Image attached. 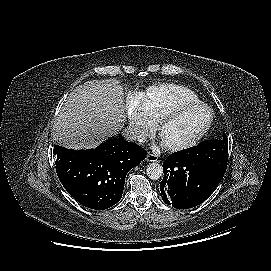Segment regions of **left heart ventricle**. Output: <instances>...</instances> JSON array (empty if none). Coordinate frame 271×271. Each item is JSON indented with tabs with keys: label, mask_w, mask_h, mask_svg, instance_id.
<instances>
[{
	"label": "left heart ventricle",
	"mask_w": 271,
	"mask_h": 271,
	"mask_svg": "<svg viewBox=\"0 0 271 271\" xmlns=\"http://www.w3.org/2000/svg\"><path fill=\"white\" fill-rule=\"evenodd\" d=\"M208 118V110L204 107L187 110L164 123L160 131L161 140L166 145L183 143L196 135Z\"/></svg>",
	"instance_id": "obj_1"
}]
</instances>
